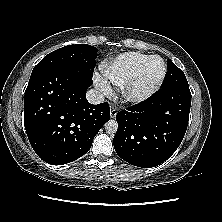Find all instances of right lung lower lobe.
Segmentation results:
<instances>
[{"mask_svg": "<svg viewBox=\"0 0 222 222\" xmlns=\"http://www.w3.org/2000/svg\"><path fill=\"white\" fill-rule=\"evenodd\" d=\"M92 77L72 68H56L30 77L24 97V123L36 154L63 165L86 154L110 119L107 102L86 99Z\"/></svg>", "mask_w": 222, "mask_h": 222, "instance_id": "obj_1", "label": "right lung lower lobe"}]
</instances>
